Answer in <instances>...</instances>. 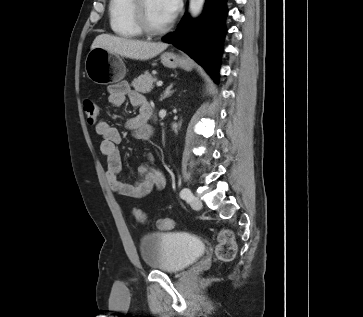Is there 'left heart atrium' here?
I'll return each mask as SVG.
<instances>
[{"mask_svg":"<svg viewBox=\"0 0 363 317\" xmlns=\"http://www.w3.org/2000/svg\"><path fill=\"white\" fill-rule=\"evenodd\" d=\"M165 17L169 22H171L177 15L180 8V0H160Z\"/></svg>","mask_w":363,"mask_h":317,"instance_id":"left-heart-atrium-1","label":"left heart atrium"}]
</instances>
